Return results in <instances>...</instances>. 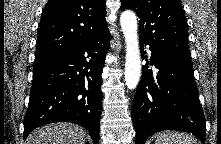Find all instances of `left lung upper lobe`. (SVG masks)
Masks as SVG:
<instances>
[{
    "label": "left lung upper lobe",
    "mask_w": 221,
    "mask_h": 144,
    "mask_svg": "<svg viewBox=\"0 0 221 144\" xmlns=\"http://www.w3.org/2000/svg\"><path fill=\"white\" fill-rule=\"evenodd\" d=\"M138 14L140 40L157 49L191 58L188 24L179 0H121Z\"/></svg>",
    "instance_id": "obj_1"
}]
</instances>
